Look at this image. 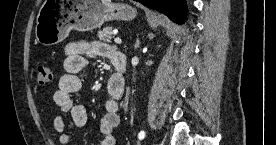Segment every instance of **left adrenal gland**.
Wrapping results in <instances>:
<instances>
[{
    "instance_id": "left-adrenal-gland-1",
    "label": "left adrenal gland",
    "mask_w": 276,
    "mask_h": 145,
    "mask_svg": "<svg viewBox=\"0 0 276 145\" xmlns=\"http://www.w3.org/2000/svg\"><path fill=\"white\" fill-rule=\"evenodd\" d=\"M139 46H140V41H139V39H137L136 44H135V48H139Z\"/></svg>"
}]
</instances>
